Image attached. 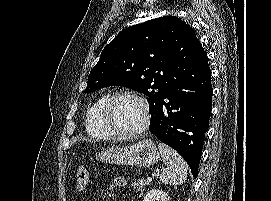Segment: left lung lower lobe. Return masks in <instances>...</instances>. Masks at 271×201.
Wrapping results in <instances>:
<instances>
[{
    "mask_svg": "<svg viewBox=\"0 0 271 201\" xmlns=\"http://www.w3.org/2000/svg\"><path fill=\"white\" fill-rule=\"evenodd\" d=\"M212 110L211 70L192 28H182L158 115L149 130L175 149L197 178Z\"/></svg>",
    "mask_w": 271,
    "mask_h": 201,
    "instance_id": "0a47b994",
    "label": "left lung lower lobe"
}]
</instances>
